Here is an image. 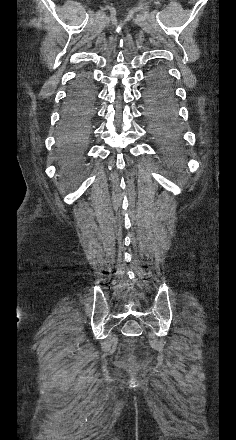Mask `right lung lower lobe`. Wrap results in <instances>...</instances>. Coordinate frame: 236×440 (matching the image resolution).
Wrapping results in <instances>:
<instances>
[{"label": "right lung lower lobe", "mask_w": 236, "mask_h": 440, "mask_svg": "<svg viewBox=\"0 0 236 440\" xmlns=\"http://www.w3.org/2000/svg\"><path fill=\"white\" fill-rule=\"evenodd\" d=\"M86 84H91L88 77H81L77 80L74 87L70 90L66 107L62 114L61 129H66L75 126L79 123L80 119V107L82 105V100L78 98L77 94L79 90L82 89ZM75 92L76 98L72 99L71 94Z\"/></svg>", "instance_id": "right-lung-lower-lobe-1"}]
</instances>
